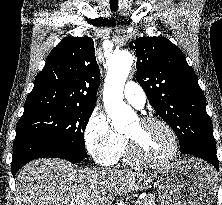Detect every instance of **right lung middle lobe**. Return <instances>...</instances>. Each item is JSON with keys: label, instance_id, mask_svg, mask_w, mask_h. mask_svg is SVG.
Here are the masks:
<instances>
[{"label": "right lung middle lobe", "instance_id": "dd1d6c3e", "mask_svg": "<svg viewBox=\"0 0 222 205\" xmlns=\"http://www.w3.org/2000/svg\"><path fill=\"white\" fill-rule=\"evenodd\" d=\"M94 107H53L23 113L15 140L44 139L61 145L78 156L87 157L84 130Z\"/></svg>", "mask_w": 222, "mask_h": 205}]
</instances>
